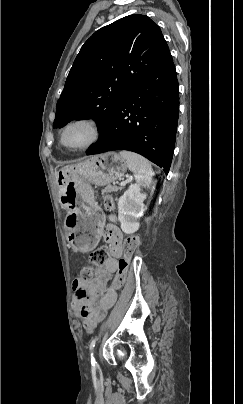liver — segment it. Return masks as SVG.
<instances>
[{"label": "liver", "instance_id": "6515ba94", "mask_svg": "<svg viewBox=\"0 0 243 404\" xmlns=\"http://www.w3.org/2000/svg\"><path fill=\"white\" fill-rule=\"evenodd\" d=\"M56 184H57V176H56Z\"/></svg>", "mask_w": 243, "mask_h": 404}]
</instances>
